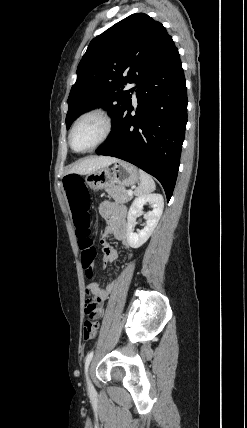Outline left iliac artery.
Here are the masks:
<instances>
[{"label": "left iliac artery", "mask_w": 247, "mask_h": 428, "mask_svg": "<svg viewBox=\"0 0 247 428\" xmlns=\"http://www.w3.org/2000/svg\"><path fill=\"white\" fill-rule=\"evenodd\" d=\"M93 354H94V351H91L90 353L87 354L85 358V373H87L88 366L92 360Z\"/></svg>", "instance_id": "obj_1"}]
</instances>
